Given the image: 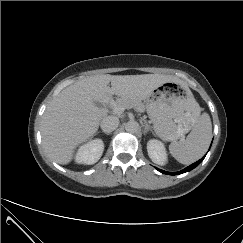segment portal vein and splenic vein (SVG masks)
<instances>
[{"instance_id": "1", "label": "portal vein and splenic vein", "mask_w": 243, "mask_h": 243, "mask_svg": "<svg viewBox=\"0 0 243 243\" xmlns=\"http://www.w3.org/2000/svg\"><path fill=\"white\" fill-rule=\"evenodd\" d=\"M125 110V107L121 106V105H118V106H115L114 107V113L116 114H122Z\"/></svg>"}]
</instances>
